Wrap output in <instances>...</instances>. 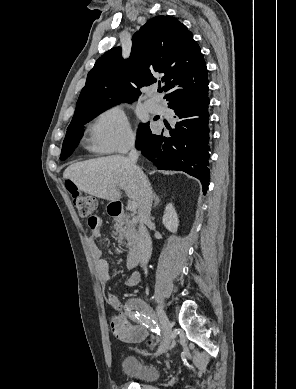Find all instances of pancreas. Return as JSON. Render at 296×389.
Listing matches in <instances>:
<instances>
[{
    "label": "pancreas",
    "mask_w": 296,
    "mask_h": 389,
    "mask_svg": "<svg viewBox=\"0 0 296 389\" xmlns=\"http://www.w3.org/2000/svg\"><path fill=\"white\" fill-rule=\"evenodd\" d=\"M112 233L117 236L120 245L125 244L123 240L126 239L128 241L127 246H129V243L134 236V228L130 222L115 218L114 230Z\"/></svg>",
    "instance_id": "1"
}]
</instances>
